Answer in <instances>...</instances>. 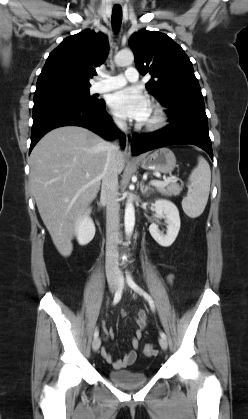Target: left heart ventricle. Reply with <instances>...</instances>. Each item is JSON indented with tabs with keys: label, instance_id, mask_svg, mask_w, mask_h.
<instances>
[{
	"label": "left heart ventricle",
	"instance_id": "1",
	"mask_svg": "<svg viewBox=\"0 0 248 419\" xmlns=\"http://www.w3.org/2000/svg\"><path fill=\"white\" fill-rule=\"evenodd\" d=\"M150 118H151V111H150V114H149V116H148L147 120H149Z\"/></svg>",
	"mask_w": 248,
	"mask_h": 419
}]
</instances>
